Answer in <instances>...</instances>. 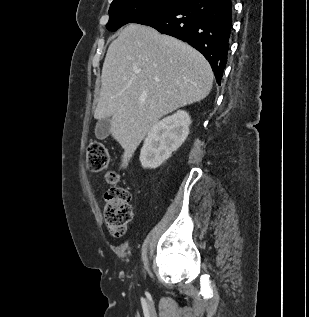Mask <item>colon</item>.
<instances>
[{
	"label": "colon",
	"instance_id": "obj_1",
	"mask_svg": "<svg viewBox=\"0 0 309 317\" xmlns=\"http://www.w3.org/2000/svg\"><path fill=\"white\" fill-rule=\"evenodd\" d=\"M86 165L92 172L107 169L109 152L102 142L97 140L89 142ZM106 178L110 186L105 193L104 221L113 235L122 236L132 219L131 196L129 191L119 184V177L115 172H108Z\"/></svg>",
	"mask_w": 309,
	"mask_h": 317
}]
</instances>
